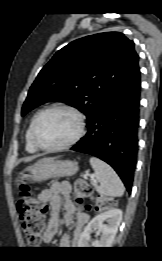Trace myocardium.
<instances>
[{"label":"myocardium","mask_w":162,"mask_h":261,"mask_svg":"<svg viewBox=\"0 0 162 261\" xmlns=\"http://www.w3.org/2000/svg\"><path fill=\"white\" fill-rule=\"evenodd\" d=\"M54 110H64L74 115L77 121V131L74 134V136L70 138L68 141H66L65 143H62L57 146H44L40 144V142L37 139V127L41 117L44 114ZM85 127H86L85 116L77 108L67 104H53L51 106L44 108L35 116L31 129L32 143L38 150L41 151L57 152V151L65 150L75 145L83 137V135L85 134Z\"/></svg>","instance_id":"f54148a6"}]
</instances>
